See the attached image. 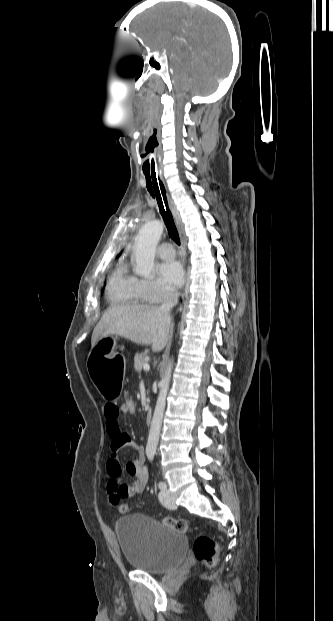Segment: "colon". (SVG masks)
I'll list each match as a JSON object with an SVG mask.
<instances>
[{"mask_svg": "<svg viewBox=\"0 0 333 621\" xmlns=\"http://www.w3.org/2000/svg\"><path fill=\"white\" fill-rule=\"evenodd\" d=\"M120 407L123 413L134 415L137 412V401L132 395L124 396L120 399ZM118 509L121 513H126L129 507L127 504L121 503ZM163 523L178 533L187 534L191 531L189 523L184 519L166 518ZM193 550L197 560L203 562L207 567H214L217 564L219 546L211 537L198 536L194 541Z\"/></svg>", "mask_w": 333, "mask_h": 621, "instance_id": "1", "label": "colon"}]
</instances>
